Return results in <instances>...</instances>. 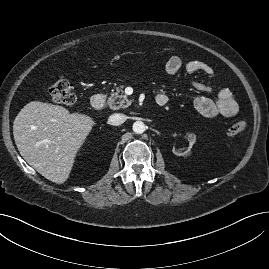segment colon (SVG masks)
<instances>
[{"label":"colon","mask_w":269,"mask_h":269,"mask_svg":"<svg viewBox=\"0 0 269 269\" xmlns=\"http://www.w3.org/2000/svg\"><path fill=\"white\" fill-rule=\"evenodd\" d=\"M49 93L52 100L59 105L70 106L76 101V94L72 85L64 78L56 79L50 86ZM247 129V122L244 120H236L229 125L226 134L233 136L245 132Z\"/></svg>","instance_id":"1"}]
</instances>
